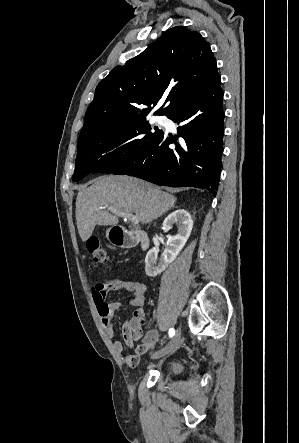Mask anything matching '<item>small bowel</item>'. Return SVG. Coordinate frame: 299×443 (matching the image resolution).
Returning <instances> with one entry per match:
<instances>
[{
    "label": "small bowel",
    "mask_w": 299,
    "mask_h": 443,
    "mask_svg": "<svg viewBox=\"0 0 299 443\" xmlns=\"http://www.w3.org/2000/svg\"><path fill=\"white\" fill-rule=\"evenodd\" d=\"M145 290V285L140 281L119 278L99 281L91 286L92 300L101 318L102 326L107 335L113 340V349L118 354L123 352L124 344L115 338L112 321L114 313L124 304L137 308L133 316L127 319L122 326L124 343L133 349L132 353L124 356V361L128 366L137 365L140 356L151 349L157 343L159 337L155 329H151L146 333H143L141 329V322L144 319L143 305ZM113 291H127L132 293V295L126 302H107V293ZM137 341H140V343L135 345Z\"/></svg>",
    "instance_id": "small-bowel-1"
}]
</instances>
